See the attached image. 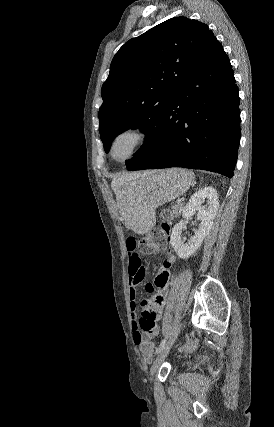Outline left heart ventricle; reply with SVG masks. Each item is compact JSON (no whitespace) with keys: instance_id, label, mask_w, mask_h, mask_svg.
Returning a JSON list of instances; mask_svg holds the SVG:
<instances>
[{"instance_id":"left-heart-ventricle-1","label":"left heart ventricle","mask_w":274,"mask_h":427,"mask_svg":"<svg viewBox=\"0 0 274 427\" xmlns=\"http://www.w3.org/2000/svg\"><path fill=\"white\" fill-rule=\"evenodd\" d=\"M134 138L130 134L121 135L114 143L112 154L115 160L125 159L132 151Z\"/></svg>"}]
</instances>
